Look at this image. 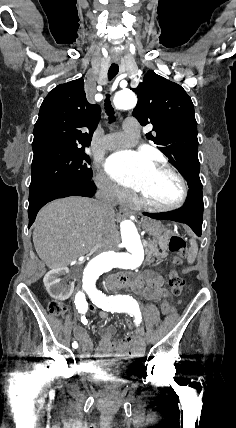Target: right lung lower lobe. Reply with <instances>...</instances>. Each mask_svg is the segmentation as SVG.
I'll use <instances>...</instances> for the list:
<instances>
[{
    "mask_svg": "<svg viewBox=\"0 0 236 428\" xmlns=\"http://www.w3.org/2000/svg\"><path fill=\"white\" fill-rule=\"evenodd\" d=\"M96 186L90 181H59L29 189V226L34 222L38 211L48 202L68 196L92 197Z\"/></svg>",
    "mask_w": 236,
    "mask_h": 428,
    "instance_id": "1",
    "label": "right lung lower lobe"
}]
</instances>
